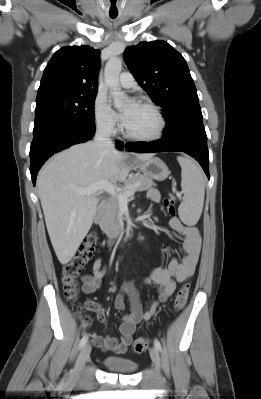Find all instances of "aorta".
I'll list each match as a JSON object with an SVG mask.
<instances>
[{"mask_svg":"<svg viewBox=\"0 0 261 399\" xmlns=\"http://www.w3.org/2000/svg\"><path fill=\"white\" fill-rule=\"evenodd\" d=\"M122 70V60L119 57H111L105 66V82L109 87L111 96L117 108H121L127 101L126 94L121 90L119 75Z\"/></svg>","mask_w":261,"mask_h":399,"instance_id":"762f6f07","label":"aorta"}]
</instances>
